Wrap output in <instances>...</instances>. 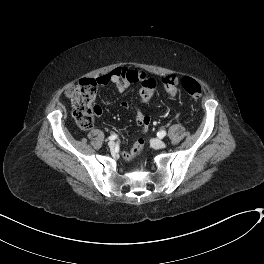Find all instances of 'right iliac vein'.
I'll return each mask as SVG.
<instances>
[{"label":"right iliac vein","instance_id":"63e3f726","mask_svg":"<svg viewBox=\"0 0 264 264\" xmlns=\"http://www.w3.org/2000/svg\"><path fill=\"white\" fill-rule=\"evenodd\" d=\"M108 146H109L110 149H114V147H115V143H114L113 141H110V142L108 143Z\"/></svg>","mask_w":264,"mask_h":264}]
</instances>
